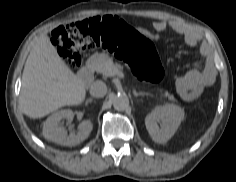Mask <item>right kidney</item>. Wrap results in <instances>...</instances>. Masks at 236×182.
<instances>
[{
	"label": "right kidney",
	"mask_w": 236,
	"mask_h": 182,
	"mask_svg": "<svg viewBox=\"0 0 236 182\" xmlns=\"http://www.w3.org/2000/svg\"><path fill=\"white\" fill-rule=\"evenodd\" d=\"M74 113L70 109H64L53 113L46 119L43 125V136L45 139L63 146H75L88 138L92 131L91 121L84 120L78 125L76 133L71 132L69 135L65 127L61 126L63 120L71 121Z\"/></svg>",
	"instance_id": "1"
}]
</instances>
